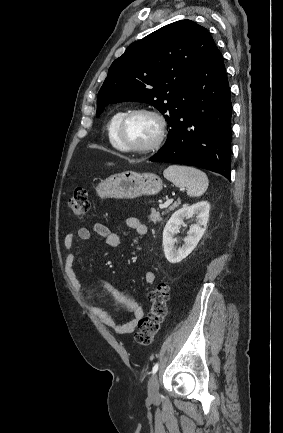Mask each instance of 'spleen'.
<instances>
[{
  "instance_id": "obj_1",
  "label": "spleen",
  "mask_w": 283,
  "mask_h": 433,
  "mask_svg": "<svg viewBox=\"0 0 283 433\" xmlns=\"http://www.w3.org/2000/svg\"><path fill=\"white\" fill-rule=\"evenodd\" d=\"M163 174L167 180H171L176 186H187L189 196H200L208 188L207 174L199 168H193V166L170 164L168 168H165Z\"/></svg>"
}]
</instances>
